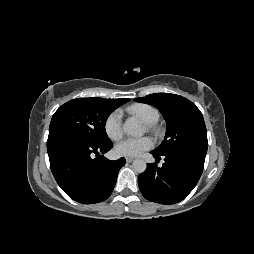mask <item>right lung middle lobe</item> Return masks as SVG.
<instances>
[{
	"instance_id": "dd1d6c3e",
	"label": "right lung middle lobe",
	"mask_w": 254,
	"mask_h": 254,
	"mask_svg": "<svg viewBox=\"0 0 254 254\" xmlns=\"http://www.w3.org/2000/svg\"><path fill=\"white\" fill-rule=\"evenodd\" d=\"M116 109L109 99L77 98L57 109L49 131L61 130L93 143L111 141L105 131L108 116Z\"/></svg>"
}]
</instances>
